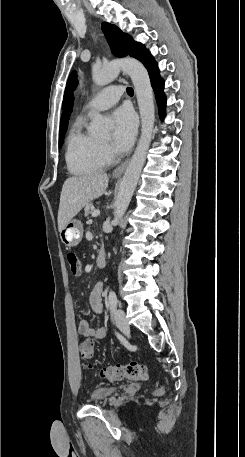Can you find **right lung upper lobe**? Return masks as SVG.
Wrapping results in <instances>:
<instances>
[{
	"mask_svg": "<svg viewBox=\"0 0 245 457\" xmlns=\"http://www.w3.org/2000/svg\"><path fill=\"white\" fill-rule=\"evenodd\" d=\"M73 102H74V97L71 98V100L69 101L68 105L66 106L65 110L62 113L61 121H60V129L67 128L68 120H69L70 114L73 109Z\"/></svg>",
	"mask_w": 245,
	"mask_h": 457,
	"instance_id": "cb5924a9",
	"label": "right lung upper lobe"
}]
</instances>
